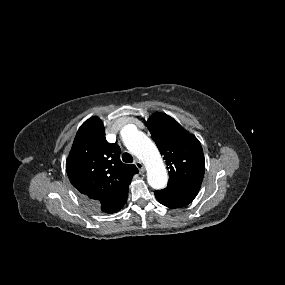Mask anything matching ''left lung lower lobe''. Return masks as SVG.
Listing matches in <instances>:
<instances>
[{
	"label": "left lung lower lobe",
	"instance_id": "1",
	"mask_svg": "<svg viewBox=\"0 0 285 285\" xmlns=\"http://www.w3.org/2000/svg\"><path fill=\"white\" fill-rule=\"evenodd\" d=\"M157 200L169 208H181L191 203L198 191L168 186L154 192Z\"/></svg>",
	"mask_w": 285,
	"mask_h": 285
}]
</instances>
